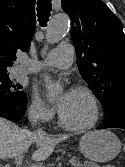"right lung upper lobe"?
Instances as JSON below:
<instances>
[{
    "label": "right lung upper lobe",
    "mask_w": 125,
    "mask_h": 167,
    "mask_svg": "<svg viewBox=\"0 0 125 167\" xmlns=\"http://www.w3.org/2000/svg\"><path fill=\"white\" fill-rule=\"evenodd\" d=\"M35 0H0V74L27 52L35 31Z\"/></svg>",
    "instance_id": "1"
}]
</instances>
